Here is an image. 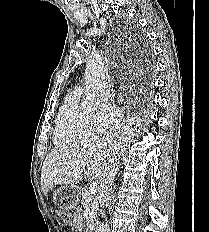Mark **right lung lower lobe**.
Returning <instances> with one entry per match:
<instances>
[{
	"label": "right lung lower lobe",
	"mask_w": 209,
	"mask_h": 232,
	"mask_svg": "<svg viewBox=\"0 0 209 232\" xmlns=\"http://www.w3.org/2000/svg\"><path fill=\"white\" fill-rule=\"evenodd\" d=\"M149 61H150V52L148 50V48L146 46H142V48L140 49V65L142 66H146L149 67ZM139 64H136V69H135V73L140 75V73L142 72V67ZM141 67V68H140Z\"/></svg>",
	"instance_id": "right-lung-lower-lobe-1"
}]
</instances>
